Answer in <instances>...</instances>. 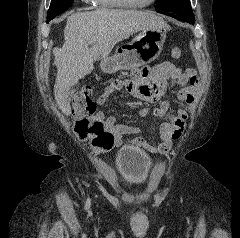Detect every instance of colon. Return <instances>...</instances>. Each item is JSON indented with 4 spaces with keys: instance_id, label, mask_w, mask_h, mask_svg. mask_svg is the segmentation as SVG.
<instances>
[{
    "instance_id": "colon-1",
    "label": "colon",
    "mask_w": 240,
    "mask_h": 238,
    "mask_svg": "<svg viewBox=\"0 0 240 238\" xmlns=\"http://www.w3.org/2000/svg\"><path fill=\"white\" fill-rule=\"evenodd\" d=\"M170 56L178 59L181 50L178 47L170 49ZM72 115L74 130L85 139H90L92 146L97 149H105L113 143V136L106 130L102 121L94 120L95 103L92 99L91 87H83L72 99Z\"/></svg>"
}]
</instances>
